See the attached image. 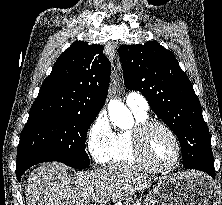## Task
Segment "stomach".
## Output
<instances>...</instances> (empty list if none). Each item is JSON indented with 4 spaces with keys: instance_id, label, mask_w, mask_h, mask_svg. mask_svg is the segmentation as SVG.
<instances>
[{
    "instance_id": "stomach-1",
    "label": "stomach",
    "mask_w": 222,
    "mask_h": 205,
    "mask_svg": "<svg viewBox=\"0 0 222 205\" xmlns=\"http://www.w3.org/2000/svg\"><path fill=\"white\" fill-rule=\"evenodd\" d=\"M211 184L195 172L161 178L146 198V205H208Z\"/></svg>"
}]
</instances>
